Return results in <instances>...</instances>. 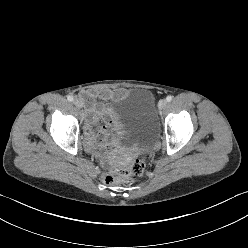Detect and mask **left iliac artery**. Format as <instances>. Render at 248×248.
<instances>
[{"label":"left iliac artery","instance_id":"obj_1","mask_svg":"<svg viewBox=\"0 0 248 248\" xmlns=\"http://www.w3.org/2000/svg\"><path fill=\"white\" fill-rule=\"evenodd\" d=\"M172 99H173V97H172L171 95H169V96L166 97V100H167L168 102H171Z\"/></svg>","mask_w":248,"mask_h":248}]
</instances>
